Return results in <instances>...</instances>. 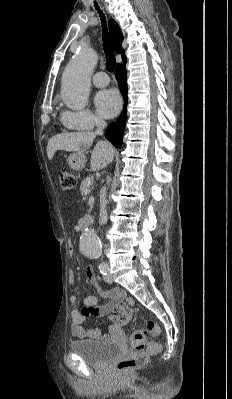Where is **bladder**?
Instances as JSON below:
<instances>
[{
    "label": "bladder",
    "instance_id": "bladder-1",
    "mask_svg": "<svg viewBox=\"0 0 232 399\" xmlns=\"http://www.w3.org/2000/svg\"><path fill=\"white\" fill-rule=\"evenodd\" d=\"M70 350L91 365H103L122 353V346L104 340H76Z\"/></svg>",
    "mask_w": 232,
    "mask_h": 399
}]
</instances>
